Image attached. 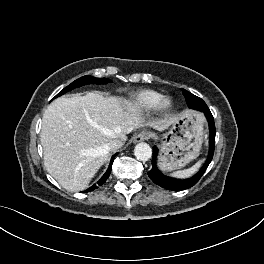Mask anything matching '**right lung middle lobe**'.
Segmentation results:
<instances>
[{"label":"right lung middle lobe","mask_w":264,"mask_h":264,"mask_svg":"<svg viewBox=\"0 0 264 264\" xmlns=\"http://www.w3.org/2000/svg\"><path fill=\"white\" fill-rule=\"evenodd\" d=\"M111 82L110 79H107V78H95V77H92V76H83L77 80H75L74 82H72L70 85H68L67 87H65L60 93H58L54 98L58 97V96H61L63 95L64 93L74 89V88H77V87H80V86H83V85H86V84H107Z\"/></svg>","instance_id":"right-lung-middle-lobe-1"}]
</instances>
